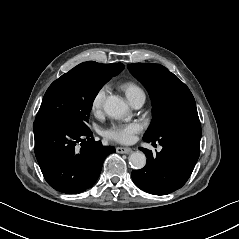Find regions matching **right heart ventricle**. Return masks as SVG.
<instances>
[{
	"label": "right heart ventricle",
	"mask_w": 239,
	"mask_h": 239,
	"mask_svg": "<svg viewBox=\"0 0 239 239\" xmlns=\"http://www.w3.org/2000/svg\"><path fill=\"white\" fill-rule=\"evenodd\" d=\"M125 89H126L127 95H129L137 90H141V88H139L137 85H135L133 83H127L125 85Z\"/></svg>",
	"instance_id": "right-heart-ventricle-1"
}]
</instances>
